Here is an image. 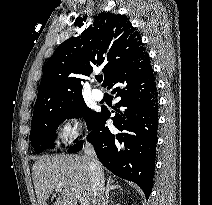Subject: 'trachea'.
<instances>
[{"label": "trachea", "mask_w": 212, "mask_h": 205, "mask_svg": "<svg viewBox=\"0 0 212 205\" xmlns=\"http://www.w3.org/2000/svg\"><path fill=\"white\" fill-rule=\"evenodd\" d=\"M96 79H97V81L100 83V82H102L103 77H102V76H99V77H97Z\"/></svg>", "instance_id": "obj_1"}]
</instances>
